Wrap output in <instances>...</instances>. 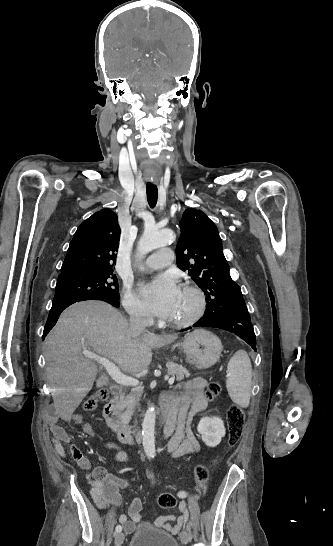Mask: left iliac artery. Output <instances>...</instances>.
<instances>
[{"mask_svg": "<svg viewBox=\"0 0 333 546\" xmlns=\"http://www.w3.org/2000/svg\"><path fill=\"white\" fill-rule=\"evenodd\" d=\"M178 496H179V497H183V496H184V493H183V492H179V493H178Z\"/></svg>", "mask_w": 333, "mask_h": 546, "instance_id": "obj_1", "label": "left iliac artery"}]
</instances>
